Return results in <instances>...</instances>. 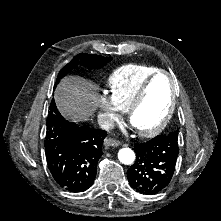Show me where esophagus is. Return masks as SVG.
Segmentation results:
<instances>
[{
	"label": "esophagus",
	"instance_id": "34e87169",
	"mask_svg": "<svg viewBox=\"0 0 221 221\" xmlns=\"http://www.w3.org/2000/svg\"><path fill=\"white\" fill-rule=\"evenodd\" d=\"M104 145L105 146H111V147H115V146H119L120 145V142L113 139V138H105L104 139Z\"/></svg>",
	"mask_w": 221,
	"mask_h": 221
}]
</instances>
